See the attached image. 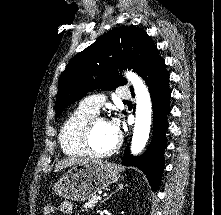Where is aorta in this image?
<instances>
[{
  "mask_svg": "<svg viewBox=\"0 0 221 215\" xmlns=\"http://www.w3.org/2000/svg\"><path fill=\"white\" fill-rule=\"evenodd\" d=\"M125 76L133 85L136 96V118L131 141V153L137 155L143 150L149 138L152 103L149 91L143 80L131 71H127Z\"/></svg>",
  "mask_w": 221,
  "mask_h": 215,
  "instance_id": "762f6f07",
  "label": "aorta"
}]
</instances>
